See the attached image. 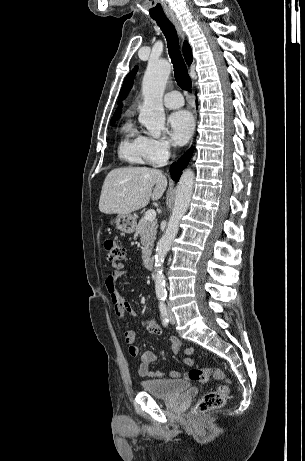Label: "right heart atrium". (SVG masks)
<instances>
[{"label": "right heart atrium", "instance_id": "d8ad5b80", "mask_svg": "<svg viewBox=\"0 0 305 461\" xmlns=\"http://www.w3.org/2000/svg\"><path fill=\"white\" fill-rule=\"evenodd\" d=\"M146 149L150 163L162 164L168 157L171 150V143L164 138H146Z\"/></svg>", "mask_w": 305, "mask_h": 461}]
</instances>
